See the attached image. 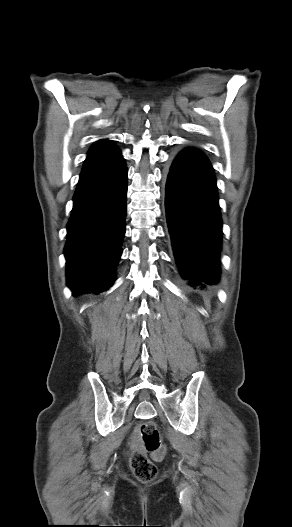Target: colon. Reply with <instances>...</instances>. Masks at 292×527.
Instances as JSON below:
<instances>
[{"instance_id":"obj_1","label":"colon","mask_w":292,"mask_h":527,"mask_svg":"<svg viewBox=\"0 0 292 527\" xmlns=\"http://www.w3.org/2000/svg\"><path fill=\"white\" fill-rule=\"evenodd\" d=\"M139 434L141 438L142 450H137L131 456L130 464L135 477L142 482H149L156 478L157 467L148 458L146 452H153L159 449V432L152 422L140 425Z\"/></svg>"}]
</instances>
